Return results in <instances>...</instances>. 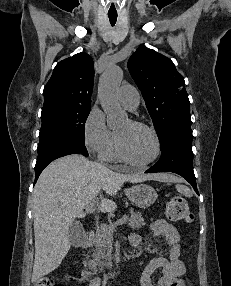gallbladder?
Wrapping results in <instances>:
<instances>
[{
    "instance_id": "1",
    "label": "gallbladder",
    "mask_w": 231,
    "mask_h": 286,
    "mask_svg": "<svg viewBox=\"0 0 231 286\" xmlns=\"http://www.w3.org/2000/svg\"><path fill=\"white\" fill-rule=\"evenodd\" d=\"M70 234H82L84 233V228L81 224V222H79L78 219H75L74 222H72V224L70 225Z\"/></svg>"
}]
</instances>
